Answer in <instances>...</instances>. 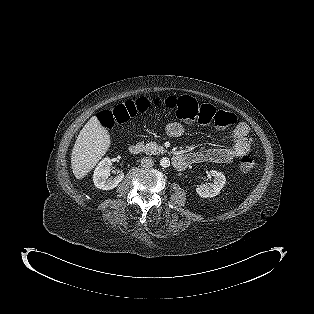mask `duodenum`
<instances>
[{"mask_svg":"<svg viewBox=\"0 0 314 314\" xmlns=\"http://www.w3.org/2000/svg\"><path fill=\"white\" fill-rule=\"evenodd\" d=\"M142 150L143 146L139 143H135L129 146V152L132 155H138L142 152ZM191 162V157L187 155H176L172 158V164L176 170L185 169Z\"/></svg>","mask_w":314,"mask_h":314,"instance_id":"410a0bca","label":"duodenum"}]
</instances>
